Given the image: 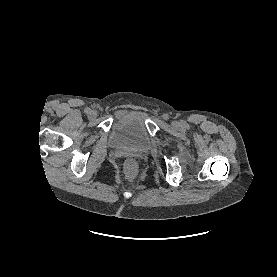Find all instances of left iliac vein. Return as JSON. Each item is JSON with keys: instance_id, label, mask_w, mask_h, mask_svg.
<instances>
[{"instance_id": "1", "label": "left iliac vein", "mask_w": 277, "mask_h": 277, "mask_svg": "<svg viewBox=\"0 0 277 277\" xmlns=\"http://www.w3.org/2000/svg\"><path fill=\"white\" fill-rule=\"evenodd\" d=\"M172 126H173L174 128H179V127H180V123H179L178 121H173V122H172Z\"/></svg>"}]
</instances>
